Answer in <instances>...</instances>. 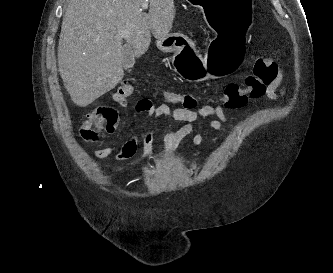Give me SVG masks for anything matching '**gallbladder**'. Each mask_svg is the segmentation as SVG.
Returning <instances> with one entry per match:
<instances>
[{
    "mask_svg": "<svg viewBox=\"0 0 333 273\" xmlns=\"http://www.w3.org/2000/svg\"><path fill=\"white\" fill-rule=\"evenodd\" d=\"M135 59L132 47L129 44L122 46V67L125 70H131L134 66Z\"/></svg>",
    "mask_w": 333,
    "mask_h": 273,
    "instance_id": "bac80fb5",
    "label": "gallbladder"
}]
</instances>
